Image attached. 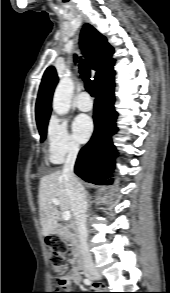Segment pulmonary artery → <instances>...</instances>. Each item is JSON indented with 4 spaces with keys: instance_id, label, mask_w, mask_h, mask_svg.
I'll use <instances>...</instances> for the list:
<instances>
[{
    "instance_id": "pulmonary-artery-1",
    "label": "pulmonary artery",
    "mask_w": 170,
    "mask_h": 293,
    "mask_svg": "<svg viewBox=\"0 0 170 293\" xmlns=\"http://www.w3.org/2000/svg\"><path fill=\"white\" fill-rule=\"evenodd\" d=\"M76 105L81 111H90L93 108V101L87 92H81Z\"/></svg>"
}]
</instances>
